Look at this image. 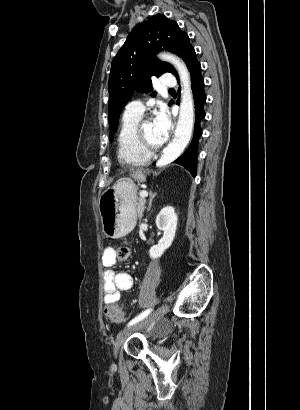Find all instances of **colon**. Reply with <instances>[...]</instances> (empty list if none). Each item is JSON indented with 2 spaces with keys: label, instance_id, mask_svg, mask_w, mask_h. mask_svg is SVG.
<instances>
[{
  "label": "colon",
  "instance_id": "colon-1",
  "mask_svg": "<svg viewBox=\"0 0 300 410\" xmlns=\"http://www.w3.org/2000/svg\"><path fill=\"white\" fill-rule=\"evenodd\" d=\"M114 256L117 261L124 262L129 257V248L127 246H118L114 250ZM106 315L109 320L113 322H121L124 319V313L122 309L117 305L108 306L105 309Z\"/></svg>",
  "mask_w": 300,
  "mask_h": 410
}]
</instances>
